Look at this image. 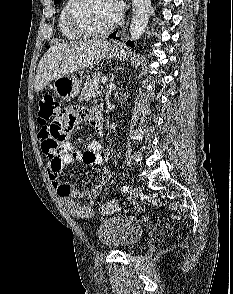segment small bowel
I'll use <instances>...</instances> for the list:
<instances>
[{
  "mask_svg": "<svg viewBox=\"0 0 233 294\" xmlns=\"http://www.w3.org/2000/svg\"><path fill=\"white\" fill-rule=\"evenodd\" d=\"M85 107V103H78L68 104L67 108L60 110H52V115L56 117L49 121L48 126H43L39 133L42 150L48 160L51 183L69 213L80 220H87L93 216L95 200L102 186L110 178L109 169L103 166L100 181L87 189H78L61 179L64 167L76 161H81L85 165H103L100 142H89L85 150L77 149L67 142L69 137H73L71 131L80 118L97 130L98 119L95 111ZM81 199L85 202L81 203Z\"/></svg>",
  "mask_w": 233,
  "mask_h": 294,
  "instance_id": "1",
  "label": "small bowel"
}]
</instances>
